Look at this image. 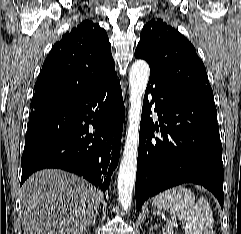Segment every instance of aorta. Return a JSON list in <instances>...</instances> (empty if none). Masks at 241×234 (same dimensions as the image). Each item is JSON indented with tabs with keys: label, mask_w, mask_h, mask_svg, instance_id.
Returning a JSON list of instances; mask_svg holds the SVG:
<instances>
[{
	"label": "aorta",
	"mask_w": 241,
	"mask_h": 234,
	"mask_svg": "<svg viewBox=\"0 0 241 234\" xmlns=\"http://www.w3.org/2000/svg\"><path fill=\"white\" fill-rule=\"evenodd\" d=\"M149 75L150 68L145 60H137L132 64L129 72L130 108L128 129L118 173V199L125 211H128L132 204V193L137 171L142 98L147 87Z\"/></svg>",
	"instance_id": "obj_1"
}]
</instances>
